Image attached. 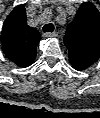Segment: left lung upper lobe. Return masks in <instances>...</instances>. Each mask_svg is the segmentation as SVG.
<instances>
[{
    "instance_id": "left-lung-upper-lobe-1",
    "label": "left lung upper lobe",
    "mask_w": 100,
    "mask_h": 118,
    "mask_svg": "<svg viewBox=\"0 0 100 118\" xmlns=\"http://www.w3.org/2000/svg\"><path fill=\"white\" fill-rule=\"evenodd\" d=\"M64 43L69 61L77 70L87 69L100 57V13L91 3H83L67 27Z\"/></svg>"
}]
</instances>
